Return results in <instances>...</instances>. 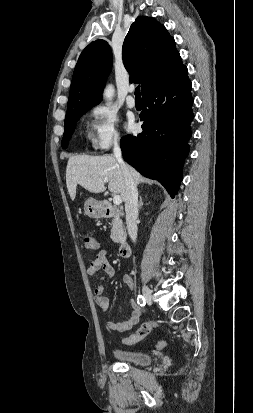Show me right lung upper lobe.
Returning a JSON list of instances; mask_svg holds the SVG:
<instances>
[{
	"mask_svg": "<svg viewBox=\"0 0 253 413\" xmlns=\"http://www.w3.org/2000/svg\"><path fill=\"white\" fill-rule=\"evenodd\" d=\"M122 59L131 74L130 82L141 84L142 95L185 67L174 38L164 25L146 16L132 23L123 43ZM111 68L112 53L106 41L96 40L82 51L72 77L65 120L100 102Z\"/></svg>",
	"mask_w": 253,
	"mask_h": 413,
	"instance_id": "obj_1",
	"label": "right lung upper lobe"
}]
</instances>
